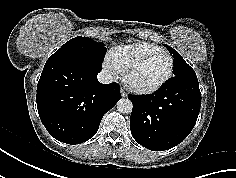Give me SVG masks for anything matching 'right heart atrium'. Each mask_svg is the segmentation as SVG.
I'll return each instance as SVG.
<instances>
[{"label": "right heart atrium", "mask_w": 236, "mask_h": 178, "mask_svg": "<svg viewBox=\"0 0 236 178\" xmlns=\"http://www.w3.org/2000/svg\"><path fill=\"white\" fill-rule=\"evenodd\" d=\"M104 69L113 77L116 78L118 74V70L114 67V65L109 61V59H105L103 63Z\"/></svg>", "instance_id": "1"}]
</instances>
